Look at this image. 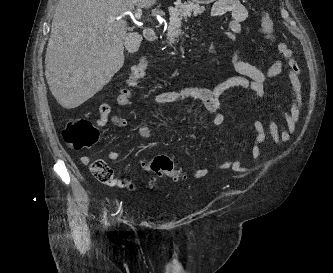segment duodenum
Masks as SVG:
<instances>
[{
  "instance_id": "410a0bca",
  "label": "duodenum",
  "mask_w": 333,
  "mask_h": 273,
  "mask_svg": "<svg viewBox=\"0 0 333 273\" xmlns=\"http://www.w3.org/2000/svg\"><path fill=\"white\" fill-rule=\"evenodd\" d=\"M143 36L149 42H155L157 40L156 32L152 28H146L143 31Z\"/></svg>"
}]
</instances>
